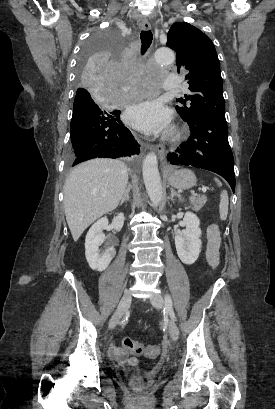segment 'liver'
<instances>
[{"label": "liver", "mask_w": 275, "mask_h": 409, "mask_svg": "<svg viewBox=\"0 0 275 409\" xmlns=\"http://www.w3.org/2000/svg\"><path fill=\"white\" fill-rule=\"evenodd\" d=\"M127 182V164L115 158H93L69 172L64 186V211L75 243L96 219L118 207Z\"/></svg>", "instance_id": "1"}]
</instances>
